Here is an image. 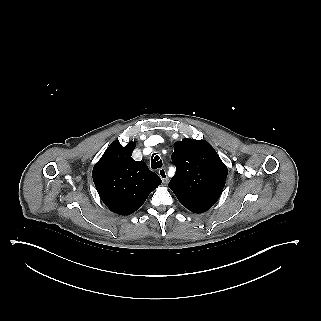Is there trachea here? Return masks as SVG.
Listing matches in <instances>:
<instances>
[{
    "mask_svg": "<svg viewBox=\"0 0 321 321\" xmlns=\"http://www.w3.org/2000/svg\"><path fill=\"white\" fill-rule=\"evenodd\" d=\"M162 165H163L162 160L156 153H154L151 158V168L155 170L162 167Z\"/></svg>",
    "mask_w": 321,
    "mask_h": 321,
    "instance_id": "obj_1",
    "label": "trachea"
}]
</instances>
